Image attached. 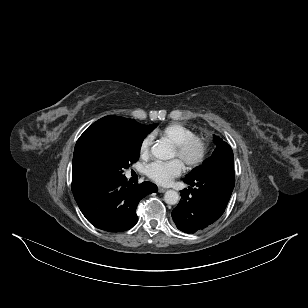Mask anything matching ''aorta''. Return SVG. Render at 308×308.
Masks as SVG:
<instances>
[{
  "mask_svg": "<svg viewBox=\"0 0 308 308\" xmlns=\"http://www.w3.org/2000/svg\"><path fill=\"white\" fill-rule=\"evenodd\" d=\"M151 153L160 160H168L173 157V151L170 145L164 142L156 143L151 147ZM164 200L167 204L174 205L179 201V194L174 190H168L164 194Z\"/></svg>",
  "mask_w": 308,
  "mask_h": 308,
  "instance_id": "762f6f07",
  "label": "aorta"
}]
</instances>
